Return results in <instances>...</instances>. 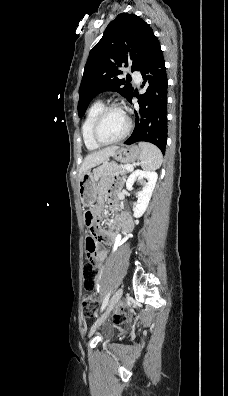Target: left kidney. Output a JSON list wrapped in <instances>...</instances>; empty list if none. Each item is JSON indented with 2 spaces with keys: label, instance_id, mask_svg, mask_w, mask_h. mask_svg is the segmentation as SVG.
Listing matches in <instances>:
<instances>
[{
  "label": "left kidney",
  "instance_id": "1",
  "mask_svg": "<svg viewBox=\"0 0 228 396\" xmlns=\"http://www.w3.org/2000/svg\"><path fill=\"white\" fill-rule=\"evenodd\" d=\"M158 175L156 172L135 170L130 174L126 181V188L128 190L132 189L133 184L136 181L143 182V188L140 192L136 193L137 202L133 208L134 217H141L146 211L149 201L152 196V192L155 188ZM145 179V181H143Z\"/></svg>",
  "mask_w": 228,
  "mask_h": 396
}]
</instances>
